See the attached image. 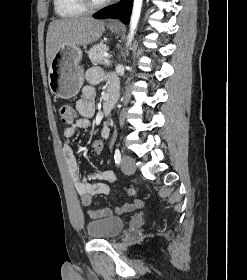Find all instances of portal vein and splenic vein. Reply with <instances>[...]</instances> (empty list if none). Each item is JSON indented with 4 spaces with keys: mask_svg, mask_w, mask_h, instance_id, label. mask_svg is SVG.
<instances>
[{
    "mask_svg": "<svg viewBox=\"0 0 247 280\" xmlns=\"http://www.w3.org/2000/svg\"><path fill=\"white\" fill-rule=\"evenodd\" d=\"M104 63L105 64H110V60L109 59H105Z\"/></svg>",
    "mask_w": 247,
    "mask_h": 280,
    "instance_id": "1",
    "label": "portal vein and splenic vein"
}]
</instances>
